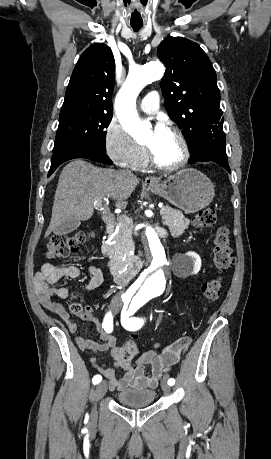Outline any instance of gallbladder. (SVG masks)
Instances as JSON below:
<instances>
[{"label": "gallbladder", "instance_id": "obj_1", "mask_svg": "<svg viewBox=\"0 0 271 459\" xmlns=\"http://www.w3.org/2000/svg\"><path fill=\"white\" fill-rule=\"evenodd\" d=\"M81 222L80 220H76V218H72V220H67V222H63L60 226L53 229V233L56 235H66V233H70L73 229L79 228Z\"/></svg>", "mask_w": 271, "mask_h": 459}]
</instances>
